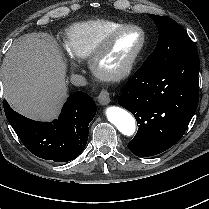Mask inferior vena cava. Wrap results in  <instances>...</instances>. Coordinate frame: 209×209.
Wrapping results in <instances>:
<instances>
[{"mask_svg":"<svg viewBox=\"0 0 209 209\" xmlns=\"http://www.w3.org/2000/svg\"><path fill=\"white\" fill-rule=\"evenodd\" d=\"M70 81L75 86H85L87 83L84 76L77 74H72L70 77Z\"/></svg>","mask_w":209,"mask_h":209,"instance_id":"1","label":"inferior vena cava"}]
</instances>
